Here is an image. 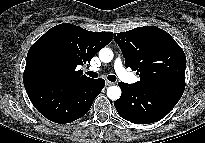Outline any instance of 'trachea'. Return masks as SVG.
<instances>
[{
	"label": "trachea",
	"mask_w": 205,
	"mask_h": 143,
	"mask_svg": "<svg viewBox=\"0 0 205 143\" xmlns=\"http://www.w3.org/2000/svg\"><path fill=\"white\" fill-rule=\"evenodd\" d=\"M86 74L89 76V77H92V78H97L98 77V74L96 72H93V71H88L86 72ZM107 79L111 82H115L116 81V76L115 75H109L107 77Z\"/></svg>",
	"instance_id": "1"
}]
</instances>
